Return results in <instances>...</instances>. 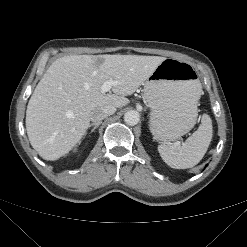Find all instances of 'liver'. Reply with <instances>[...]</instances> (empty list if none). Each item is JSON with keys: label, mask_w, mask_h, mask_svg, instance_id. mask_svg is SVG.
<instances>
[{"label": "liver", "mask_w": 247, "mask_h": 247, "mask_svg": "<svg viewBox=\"0 0 247 247\" xmlns=\"http://www.w3.org/2000/svg\"><path fill=\"white\" fill-rule=\"evenodd\" d=\"M166 58L143 55H69L56 59L37 84L26 110L32 147L45 160L68 154L90 125L91 112L121 108ZM116 81L109 93L101 86Z\"/></svg>", "instance_id": "obj_1"}]
</instances>
